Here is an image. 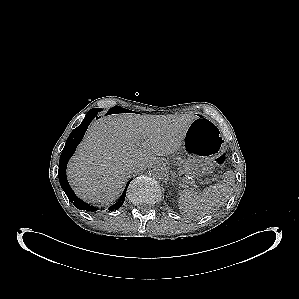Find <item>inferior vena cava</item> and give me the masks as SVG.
<instances>
[{"label":"inferior vena cava","instance_id":"obj_1","mask_svg":"<svg viewBox=\"0 0 299 299\" xmlns=\"http://www.w3.org/2000/svg\"><path fill=\"white\" fill-rule=\"evenodd\" d=\"M131 170H134V167H130Z\"/></svg>","mask_w":299,"mask_h":299}]
</instances>
